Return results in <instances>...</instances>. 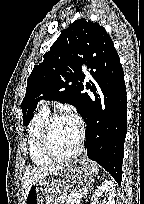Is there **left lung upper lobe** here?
Listing matches in <instances>:
<instances>
[{
    "mask_svg": "<svg viewBox=\"0 0 144 204\" xmlns=\"http://www.w3.org/2000/svg\"><path fill=\"white\" fill-rule=\"evenodd\" d=\"M44 61L36 65L27 80L22 101L23 123L28 125L41 99L74 105L83 114V81L81 65L112 68L119 56L105 28L85 18L65 29Z\"/></svg>",
    "mask_w": 144,
    "mask_h": 204,
    "instance_id": "left-lung-upper-lobe-1",
    "label": "left lung upper lobe"
}]
</instances>
